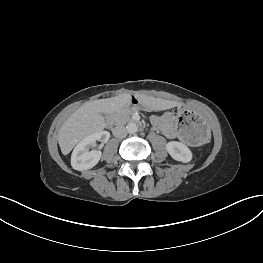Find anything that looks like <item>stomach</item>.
Masks as SVG:
<instances>
[{
	"instance_id": "stomach-1",
	"label": "stomach",
	"mask_w": 263,
	"mask_h": 263,
	"mask_svg": "<svg viewBox=\"0 0 263 263\" xmlns=\"http://www.w3.org/2000/svg\"><path fill=\"white\" fill-rule=\"evenodd\" d=\"M130 109L145 108L151 109L150 106L143 104L137 97L132 96ZM174 126L183 140L193 145L204 144L210 136L209 128L199 113L191 109H180L174 121Z\"/></svg>"
}]
</instances>
